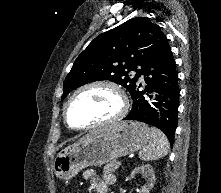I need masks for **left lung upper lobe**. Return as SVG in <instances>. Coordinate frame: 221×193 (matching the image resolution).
<instances>
[{
    "label": "left lung upper lobe",
    "mask_w": 221,
    "mask_h": 193,
    "mask_svg": "<svg viewBox=\"0 0 221 193\" xmlns=\"http://www.w3.org/2000/svg\"><path fill=\"white\" fill-rule=\"evenodd\" d=\"M167 38L147 17L132 18L97 36L77 57L63 86V100L73 89L98 80H110L130 94L138 84L142 68L155 57ZM136 71L135 75L129 74Z\"/></svg>",
    "instance_id": "obj_1"
}]
</instances>
